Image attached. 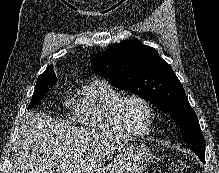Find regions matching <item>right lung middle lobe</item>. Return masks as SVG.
Here are the masks:
<instances>
[{
	"mask_svg": "<svg viewBox=\"0 0 219 173\" xmlns=\"http://www.w3.org/2000/svg\"><path fill=\"white\" fill-rule=\"evenodd\" d=\"M55 78H56V75L54 73L43 74L38 77L35 91L33 93L28 109L34 107L35 105L39 103V101L44 97V94L47 92L48 88L52 87L57 82Z\"/></svg>",
	"mask_w": 219,
	"mask_h": 173,
	"instance_id": "1",
	"label": "right lung middle lobe"
}]
</instances>
